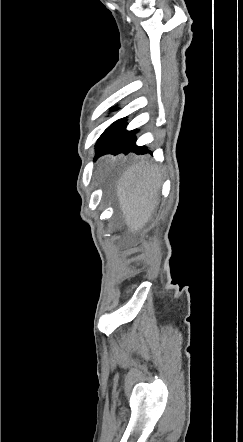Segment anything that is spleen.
Returning a JSON list of instances; mask_svg holds the SVG:
<instances>
[{
	"instance_id": "obj_1",
	"label": "spleen",
	"mask_w": 243,
	"mask_h": 442,
	"mask_svg": "<svg viewBox=\"0 0 243 442\" xmlns=\"http://www.w3.org/2000/svg\"><path fill=\"white\" fill-rule=\"evenodd\" d=\"M153 174L152 169L136 166L127 174L126 182L122 186L121 201L127 215V222L132 230L141 228L146 220L150 210L148 200L136 192H154L156 189L152 179L149 178Z\"/></svg>"
}]
</instances>
